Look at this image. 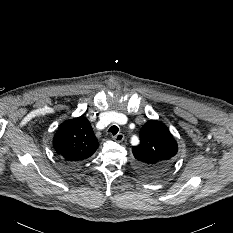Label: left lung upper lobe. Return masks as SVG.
<instances>
[{"instance_id":"1","label":"left lung upper lobe","mask_w":233,"mask_h":233,"mask_svg":"<svg viewBox=\"0 0 233 233\" xmlns=\"http://www.w3.org/2000/svg\"><path fill=\"white\" fill-rule=\"evenodd\" d=\"M178 147L168 128L149 120L140 130V144L132 148L139 172L148 178L160 177L175 163Z\"/></svg>"}]
</instances>
